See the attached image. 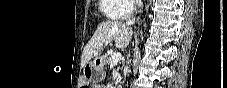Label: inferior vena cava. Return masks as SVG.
Masks as SVG:
<instances>
[{
	"mask_svg": "<svg viewBox=\"0 0 227 88\" xmlns=\"http://www.w3.org/2000/svg\"><path fill=\"white\" fill-rule=\"evenodd\" d=\"M135 23V18L130 19L129 21L126 22V25H132Z\"/></svg>",
	"mask_w": 227,
	"mask_h": 88,
	"instance_id": "602c4592",
	"label": "inferior vena cava"
}]
</instances>
